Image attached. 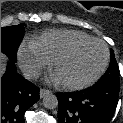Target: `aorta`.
<instances>
[{
	"label": "aorta",
	"mask_w": 123,
	"mask_h": 123,
	"mask_svg": "<svg viewBox=\"0 0 123 123\" xmlns=\"http://www.w3.org/2000/svg\"><path fill=\"white\" fill-rule=\"evenodd\" d=\"M43 106L47 109H55L58 106L57 97L52 93H45L43 96Z\"/></svg>",
	"instance_id": "aorta-1"
}]
</instances>
